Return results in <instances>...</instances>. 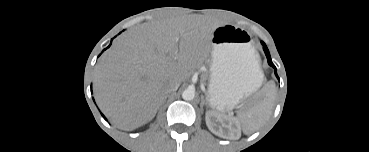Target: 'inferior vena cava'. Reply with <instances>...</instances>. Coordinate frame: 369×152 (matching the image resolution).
Returning a JSON list of instances; mask_svg holds the SVG:
<instances>
[{"mask_svg": "<svg viewBox=\"0 0 369 152\" xmlns=\"http://www.w3.org/2000/svg\"><path fill=\"white\" fill-rule=\"evenodd\" d=\"M180 83L174 80H170L165 85V93H170L176 91L179 87Z\"/></svg>", "mask_w": 369, "mask_h": 152, "instance_id": "obj_1", "label": "inferior vena cava"}]
</instances>
